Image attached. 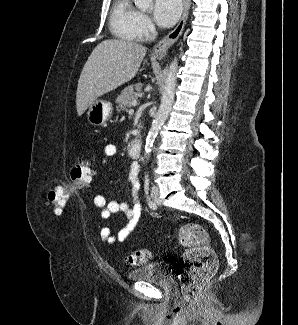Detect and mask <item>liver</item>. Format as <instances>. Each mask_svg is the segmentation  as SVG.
Listing matches in <instances>:
<instances>
[{
    "mask_svg": "<svg viewBox=\"0 0 298 325\" xmlns=\"http://www.w3.org/2000/svg\"><path fill=\"white\" fill-rule=\"evenodd\" d=\"M147 46L138 42L106 38L89 54L76 90L78 116L84 114L99 96L115 90L136 76L146 56Z\"/></svg>",
    "mask_w": 298,
    "mask_h": 325,
    "instance_id": "obj_1",
    "label": "liver"
}]
</instances>
